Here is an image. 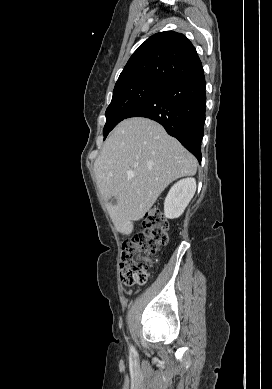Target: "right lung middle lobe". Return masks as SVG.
<instances>
[{"instance_id": "dd1d6c3e", "label": "right lung middle lobe", "mask_w": 272, "mask_h": 389, "mask_svg": "<svg viewBox=\"0 0 272 389\" xmlns=\"http://www.w3.org/2000/svg\"><path fill=\"white\" fill-rule=\"evenodd\" d=\"M165 85L157 81L142 80L115 87L112 101L106 110L104 139L120 121L126 118L130 111Z\"/></svg>"}]
</instances>
